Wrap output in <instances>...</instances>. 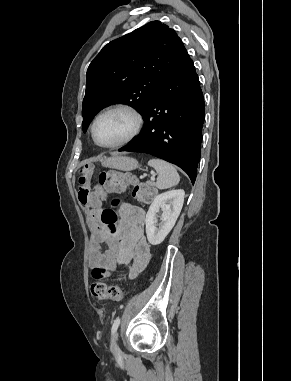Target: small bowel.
<instances>
[{
    "instance_id": "c3829d8e",
    "label": "small bowel",
    "mask_w": 291,
    "mask_h": 381,
    "mask_svg": "<svg viewBox=\"0 0 291 381\" xmlns=\"http://www.w3.org/2000/svg\"><path fill=\"white\" fill-rule=\"evenodd\" d=\"M100 215L101 208L90 210L94 228L88 260L90 267L102 266L115 270L118 263L130 264L129 277L135 278L146 268L151 257L150 244L145 237V210L132 205L124 206L117 237L101 226Z\"/></svg>"
}]
</instances>
